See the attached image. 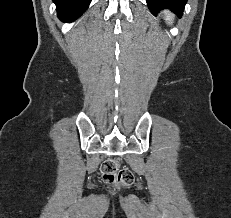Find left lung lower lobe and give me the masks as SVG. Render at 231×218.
Listing matches in <instances>:
<instances>
[{
    "mask_svg": "<svg viewBox=\"0 0 231 218\" xmlns=\"http://www.w3.org/2000/svg\"><path fill=\"white\" fill-rule=\"evenodd\" d=\"M148 7L152 13L156 14L159 10L169 8L178 16L183 13L187 0H146Z\"/></svg>",
    "mask_w": 231,
    "mask_h": 218,
    "instance_id": "obj_1",
    "label": "left lung lower lobe"
}]
</instances>
